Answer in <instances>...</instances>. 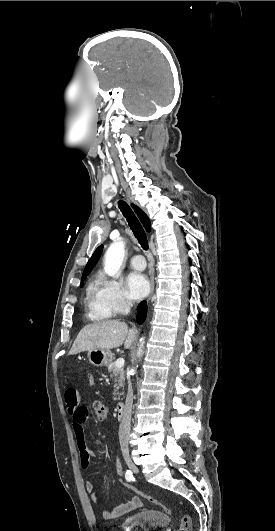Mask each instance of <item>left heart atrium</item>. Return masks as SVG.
<instances>
[{
  "label": "left heart atrium",
  "mask_w": 275,
  "mask_h": 531,
  "mask_svg": "<svg viewBox=\"0 0 275 531\" xmlns=\"http://www.w3.org/2000/svg\"><path fill=\"white\" fill-rule=\"evenodd\" d=\"M125 287L133 299H140L148 292L149 282L143 273L135 271L128 274Z\"/></svg>",
  "instance_id": "obj_1"
}]
</instances>
